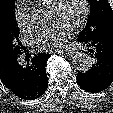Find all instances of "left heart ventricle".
<instances>
[{
	"label": "left heart ventricle",
	"instance_id": "b2bd125f",
	"mask_svg": "<svg viewBox=\"0 0 113 113\" xmlns=\"http://www.w3.org/2000/svg\"><path fill=\"white\" fill-rule=\"evenodd\" d=\"M82 10L81 0H64L60 10L51 9L49 22L62 20L73 26L81 16Z\"/></svg>",
	"mask_w": 113,
	"mask_h": 113
}]
</instances>
